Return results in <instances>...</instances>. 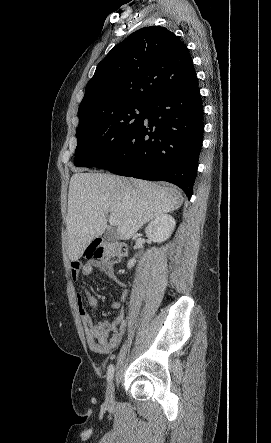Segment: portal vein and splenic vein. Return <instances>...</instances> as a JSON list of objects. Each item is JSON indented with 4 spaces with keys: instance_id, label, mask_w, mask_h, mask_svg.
Returning a JSON list of instances; mask_svg holds the SVG:
<instances>
[{
    "instance_id": "portal-vein-and-splenic-vein-1",
    "label": "portal vein and splenic vein",
    "mask_w": 271,
    "mask_h": 443,
    "mask_svg": "<svg viewBox=\"0 0 271 443\" xmlns=\"http://www.w3.org/2000/svg\"><path fill=\"white\" fill-rule=\"evenodd\" d=\"M109 223L110 225H118V220L116 214H110L109 216Z\"/></svg>"
}]
</instances>
